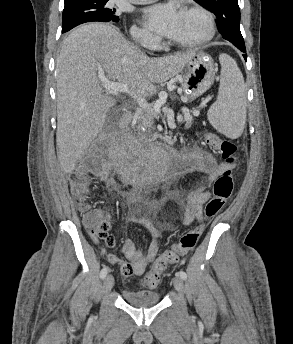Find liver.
Returning <instances> with one entry per match:
<instances>
[{
	"mask_svg": "<svg viewBox=\"0 0 293 344\" xmlns=\"http://www.w3.org/2000/svg\"><path fill=\"white\" fill-rule=\"evenodd\" d=\"M195 55L191 51L148 57L107 24L83 25L63 41L56 69L57 156L65 173L102 130L116 100L105 93L99 74L125 84L130 96L148 97L155 84L176 76Z\"/></svg>",
	"mask_w": 293,
	"mask_h": 344,
	"instance_id": "1",
	"label": "liver"
}]
</instances>
